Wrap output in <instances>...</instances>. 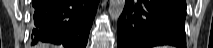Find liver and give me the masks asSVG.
I'll return each mask as SVG.
<instances>
[{"label": "liver", "instance_id": "liver-1", "mask_svg": "<svg viewBox=\"0 0 213 48\" xmlns=\"http://www.w3.org/2000/svg\"><path fill=\"white\" fill-rule=\"evenodd\" d=\"M36 48H49V45H46V44H39V45H37Z\"/></svg>", "mask_w": 213, "mask_h": 48}]
</instances>
